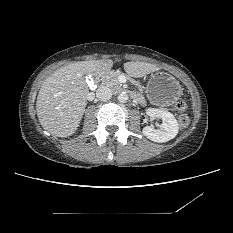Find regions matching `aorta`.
I'll list each match as a JSON object with an SVG mask.
<instances>
[{"label": "aorta", "instance_id": "762f6f07", "mask_svg": "<svg viewBox=\"0 0 233 233\" xmlns=\"http://www.w3.org/2000/svg\"><path fill=\"white\" fill-rule=\"evenodd\" d=\"M128 100V95L125 93V92H121L119 95H118V101L121 102V103H125L127 102Z\"/></svg>", "mask_w": 233, "mask_h": 233}]
</instances>
